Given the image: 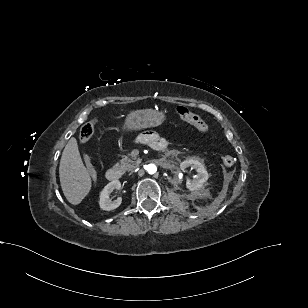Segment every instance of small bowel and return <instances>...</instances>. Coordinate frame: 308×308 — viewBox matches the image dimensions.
Here are the masks:
<instances>
[{
  "mask_svg": "<svg viewBox=\"0 0 308 308\" xmlns=\"http://www.w3.org/2000/svg\"><path fill=\"white\" fill-rule=\"evenodd\" d=\"M138 140L143 143V144H148L152 147L155 148L154 143L156 141H162L165 144V141L160 138V136L154 132V131H145L142 132L139 136H138Z\"/></svg>",
  "mask_w": 308,
  "mask_h": 308,
  "instance_id": "1",
  "label": "small bowel"
}]
</instances>
